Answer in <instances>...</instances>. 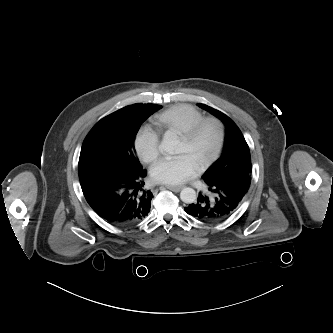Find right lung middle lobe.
<instances>
[{
    "instance_id": "dd1d6c3e",
    "label": "right lung middle lobe",
    "mask_w": 333,
    "mask_h": 333,
    "mask_svg": "<svg viewBox=\"0 0 333 333\" xmlns=\"http://www.w3.org/2000/svg\"><path fill=\"white\" fill-rule=\"evenodd\" d=\"M161 106L133 104L101 119L85 138L78 170L102 167L121 173L143 170L134 148L140 125Z\"/></svg>"
}]
</instances>
